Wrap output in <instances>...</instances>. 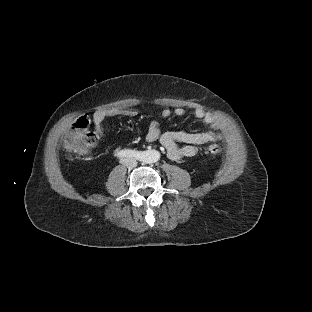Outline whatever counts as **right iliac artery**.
<instances>
[{"label":"right iliac artery","instance_id":"1","mask_svg":"<svg viewBox=\"0 0 312 312\" xmlns=\"http://www.w3.org/2000/svg\"><path fill=\"white\" fill-rule=\"evenodd\" d=\"M127 154H126V152L125 151H120L119 153H117V156L118 157H124V156H126Z\"/></svg>","mask_w":312,"mask_h":312}]
</instances>
